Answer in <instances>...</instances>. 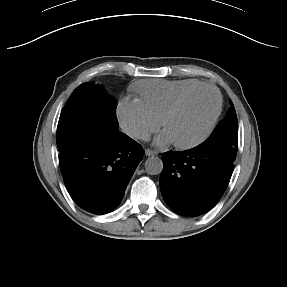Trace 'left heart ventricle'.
Returning <instances> with one entry per match:
<instances>
[{"label":"left heart ventricle","instance_id":"obj_1","mask_svg":"<svg viewBox=\"0 0 287 287\" xmlns=\"http://www.w3.org/2000/svg\"><path fill=\"white\" fill-rule=\"evenodd\" d=\"M216 108V96L210 90L192 94L178 113L167 123L165 131L174 142L183 143L197 138L208 125Z\"/></svg>","mask_w":287,"mask_h":287}]
</instances>
